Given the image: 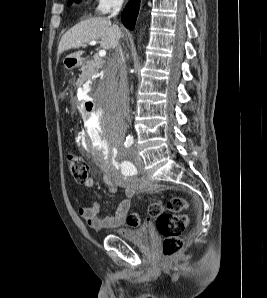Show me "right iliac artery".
I'll return each instance as SVG.
<instances>
[{
	"mask_svg": "<svg viewBox=\"0 0 267 298\" xmlns=\"http://www.w3.org/2000/svg\"><path fill=\"white\" fill-rule=\"evenodd\" d=\"M133 142H134L133 137L132 136H127L124 145H125L126 148H130L132 146Z\"/></svg>",
	"mask_w": 267,
	"mask_h": 298,
	"instance_id": "1",
	"label": "right iliac artery"
}]
</instances>
